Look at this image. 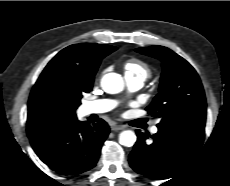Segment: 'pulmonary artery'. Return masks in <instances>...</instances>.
Masks as SVG:
<instances>
[{"instance_id":"e3ab8cb5","label":"pulmonary artery","mask_w":230,"mask_h":186,"mask_svg":"<svg viewBox=\"0 0 230 186\" xmlns=\"http://www.w3.org/2000/svg\"><path fill=\"white\" fill-rule=\"evenodd\" d=\"M126 84L130 91L139 90L144 83V79L141 77H135L131 75H125ZM115 106V102L109 99H101L95 101H89L84 104V112L85 114H98V113H105L113 109ZM152 133H157L158 128L157 126H153L151 128Z\"/></svg>"}]
</instances>
